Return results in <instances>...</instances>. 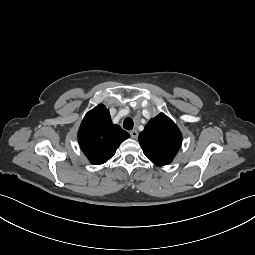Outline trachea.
Returning a JSON list of instances; mask_svg holds the SVG:
<instances>
[{"mask_svg": "<svg viewBox=\"0 0 255 255\" xmlns=\"http://www.w3.org/2000/svg\"><path fill=\"white\" fill-rule=\"evenodd\" d=\"M134 126V122L131 118H126L123 122V127L126 129V130H131Z\"/></svg>", "mask_w": 255, "mask_h": 255, "instance_id": "1", "label": "trachea"}]
</instances>
